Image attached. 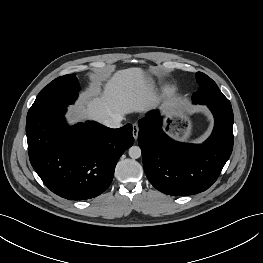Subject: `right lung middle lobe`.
<instances>
[{"label": "right lung middle lobe", "mask_w": 263, "mask_h": 263, "mask_svg": "<svg viewBox=\"0 0 263 263\" xmlns=\"http://www.w3.org/2000/svg\"><path fill=\"white\" fill-rule=\"evenodd\" d=\"M79 83L74 74L56 78L38 94L27 114V121L58 104H72L78 96Z\"/></svg>", "instance_id": "dd1d6c3e"}]
</instances>
